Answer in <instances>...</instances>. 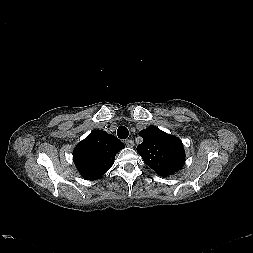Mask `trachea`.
Masks as SVG:
<instances>
[{"label": "trachea", "mask_w": 253, "mask_h": 253, "mask_svg": "<svg viewBox=\"0 0 253 253\" xmlns=\"http://www.w3.org/2000/svg\"><path fill=\"white\" fill-rule=\"evenodd\" d=\"M117 135L120 139H126L129 135V131L126 127L120 126L117 130Z\"/></svg>", "instance_id": "obj_1"}]
</instances>
